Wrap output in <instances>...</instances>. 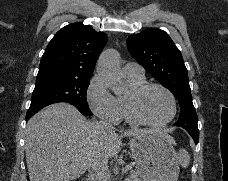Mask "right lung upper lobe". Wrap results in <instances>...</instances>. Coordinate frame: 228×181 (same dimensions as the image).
Here are the masks:
<instances>
[{"label":"right lung upper lobe","instance_id":"obj_1","mask_svg":"<svg viewBox=\"0 0 228 181\" xmlns=\"http://www.w3.org/2000/svg\"><path fill=\"white\" fill-rule=\"evenodd\" d=\"M106 42L107 36L90 25L72 23L63 27L46 47L37 77L61 75L90 79Z\"/></svg>","mask_w":228,"mask_h":181}]
</instances>
